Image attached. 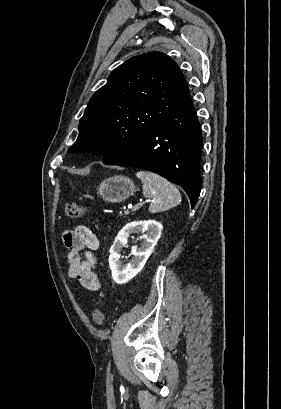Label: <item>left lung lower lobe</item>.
Listing matches in <instances>:
<instances>
[{
  "mask_svg": "<svg viewBox=\"0 0 281 409\" xmlns=\"http://www.w3.org/2000/svg\"><path fill=\"white\" fill-rule=\"evenodd\" d=\"M202 132L189 98L107 165L139 167L179 184L194 208L201 189Z\"/></svg>",
  "mask_w": 281,
  "mask_h": 409,
  "instance_id": "0a47b994",
  "label": "left lung lower lobe"
}]
</instances>
